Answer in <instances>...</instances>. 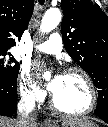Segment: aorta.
Returning <instances> with one entry per match:
<instances>
[{
  "label": "aorta",
  "instance_id": "1",
  "mask_svg": "<svg viewBox=\"0 0 108 127\" xmlns=\"http://www.w3.org/2000/svg\"><path fill=\"white\" fill-rule=\"evenodd\" d=\"M62 18L61 12L57 8L48 9L41 21L40 31L42 33H48L52 31L60 23ZM44 78H49V72L44 73Z\"/></svg>",
  "mask_w": 108,
  "mask_h": 127
}]
</instances>
